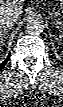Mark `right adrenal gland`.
<instances>
[{"instance_id":"2a0ac1e0","label":"right adrenal gland","mask_w":63,"mask_h":107,"mask_svg":"<svg viewBox=\"0 0 63 107\" xmlns=\"http://www.w3.org/2000/svg\"><path fill=\"white\" fill-rule=\"evenodd\" d=\"M8 32V30H4V31H2L1 32V34H0V43L2 44L3 43V38L5 37V35H6V33Z\"/></svg>"}]
</instances>
